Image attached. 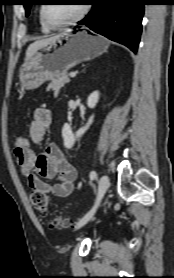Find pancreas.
<instances>
[{"mask_svg": "<svg viewBox=\"0 0 174 278\" xmlns=\"http://www.w3.org/2000/svg\"><path fill=\"white\" fill-rule=\"evenodd\" d=\"M68 82H69L68 74L64 73L59 77L53 79L52 82L48 85L47 90L49 91L50 89H52L55 92H59L60 89L64 87V85Z\"/></svg>", "mask_w": 174, "mask_h": 278, "instance_id": "1", "label": "pancreas"}]
</instances>
